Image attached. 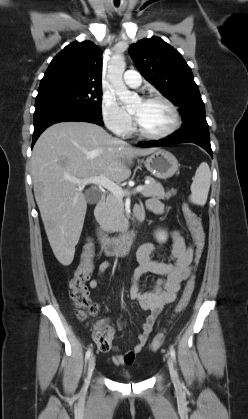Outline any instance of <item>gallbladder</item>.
I'll return each instance as SVG.
<instances>
[{
  "mask_svg": "<svg viewBox=\"0 0 248 419\" xmlns=\"http://www.w3.org/2000/svg\"><path fill=\"white\" fill-rule=\"evenodd\" d=\"M85 197L89 204H96L100 200L101 194L97 190L90 189L85 193Z\"/></svg>",
  "mask_w": 248,
  "mask_h": 419,
  "instance_id": "bac80fb5",
  "label": "gallbladder"
}]
</instances>
